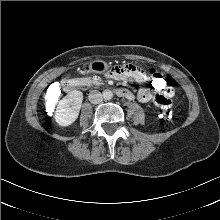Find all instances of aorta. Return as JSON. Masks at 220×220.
<instances>
[{"instance_id":"1","label":"aorta","mask_w":220,"mask_h":220,"mask_svg":"<svg viewBox=\"0 0 220 220\" xmlns=\"http://www.w3.org/2000/svg\"><path fill=\"white\" fill-rule=\"evenodd\" d=\"M103 96H104L105 99H111L112 96H113V93L110 90H105L103 92Z\"/></svg>"}]
</instances>
